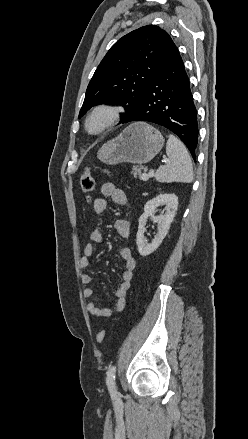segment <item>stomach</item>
<instances>
[{
  "mask_svg": "<svg viewBox=\"0 0 248 439\" xmlns=\"http://www.w3.org/2000/svg\"><path fill=\"white\" fill-rule=\"evenodd\" d=\"M162 134L145 122L129 125L118 137L102 145L97 158L106 164H144L151 161L162 149Z\"/></svg>",
  "mask_w": 248,
  "mask_h": 439,
  "instance_id": "obj_1",
  "label": "stomach"
}]
</instances>
